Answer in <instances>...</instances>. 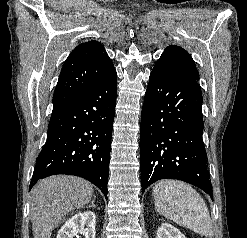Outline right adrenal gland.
I'll return each instance as SVG.
<instances>
[{"label": "right adrenal gland", "instance_id": "right-adrenal-gland-1", "mask_svg": "<svg viewBox=\"0 0 247 238\" xmlns=\"http://www.w3.org/2000/svg\"><path fill=\"white\" fill-rule=\"evenodd\" d=\"M94 200H95V197H94L93 201L91 202V204L88 206L89 208H91V207H96V206L94 205Z\"/></svg>", "mask_w": 247, "mask_h": 238}]
</instances>
